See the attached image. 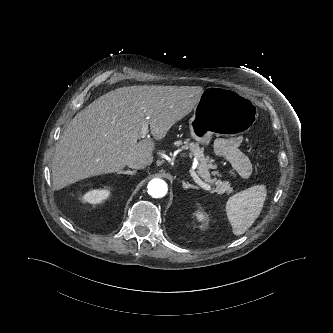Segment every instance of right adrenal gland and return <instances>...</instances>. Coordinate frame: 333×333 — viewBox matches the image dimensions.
<instances>
[{
    "mask_svg": "<svg viewBox=\"0 0 333 333\" xmlns=\"http://www.w3.org/2000/svg\"><path fill=\"white\" fill-rule=\"evenodd\" d=\"M136 173L135 170L131 171V170H127V171H119L117 172V174H126V175H134Z\"/></svg>",
    "mask_w": 333,
    "mask_h": 333,
    "instance_id": "obj_1",
    "label": "right adrenal gland"
}]
</instances>
